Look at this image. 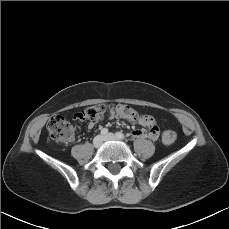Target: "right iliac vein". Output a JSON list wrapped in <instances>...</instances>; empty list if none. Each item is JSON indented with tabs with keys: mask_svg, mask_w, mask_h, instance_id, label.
I'll return each instance as SVG.
<instances>
[{
	"mask_svg": "<svg viewBox=\"0 0 229 229\" xmlns=\"http://www.w3.org/2000/svg\"><path fill=\"white\" fill-rule=\"evenodd\" d=\"M103 141H104L103 136L97 135V136L93 139V145H94V147H96V148L100 147V146L102 145Z\"/></svg>",
	"mask_w": 229,
	"mask_h": 229,
	"instance_id": "right-iliac-vein-1",
	"label": "right iliac vein"
}]
</instances>
